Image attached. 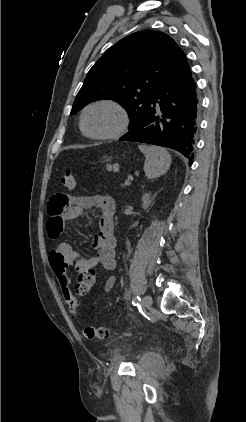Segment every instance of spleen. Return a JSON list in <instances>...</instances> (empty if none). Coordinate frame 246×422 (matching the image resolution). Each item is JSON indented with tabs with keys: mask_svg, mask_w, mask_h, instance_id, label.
I'll list each match as a JSON object with an SVG mask.
<instances>
[{
	"mask_svg": "<svg viewBox=\"0 0 246 422\" xmlns=\"http://www.w3.org/2000/svg\"><path fill=\"white\" fill-rule=\"evenodd\" d=\"M145 155L144 172L148 179H155L164 175L170 168L171 155L162 147L139 145Z\"/></svg>",
	"mask_w": 246,
	"mask_h": 422,
	"instance_id": "spleen-1",
	"label": "spleen"
}]
</instances>
